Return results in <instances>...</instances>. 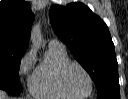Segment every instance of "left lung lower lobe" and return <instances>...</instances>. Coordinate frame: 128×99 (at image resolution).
Instances as JSON below:
<instances>
[{
  "mask_svg": "<svg viewBox=\"0 0 128 99\" xmlns=\"http://www.w3.org/2000/svg\"><path fill=\"white\" fill-rule=\"evenodd\" d=\"M120 87H111L108 89H105L101 92V94L98 95L99 99H120Z\"/></svg>",
  "mask_w": 128,
  "mask_h": 99,
  "instance_id": "0a47b994",
  "label": "left lung lower lobe"
}]
</instances>
